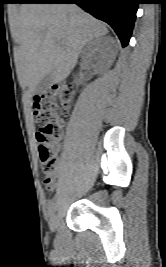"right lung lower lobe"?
<instances>
[{
	"instance_id": "98d812e1",
	"label": "right lung lower lobe",
	"mask_w": 166,
	"mask_h": 267,
	"mask_svg": "<svg viewBox=\"0 0 166 267\" xmlns=\"http://www.w3.org/2000/svg\"><path fill=\"white\" fill-rule=\"evenodd\" d=\"M20 3H75L108 23L126 47L132 33L140 0H21Z\"/></svg>"
}]
</instances>
